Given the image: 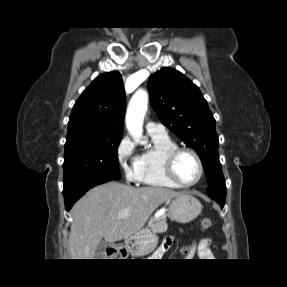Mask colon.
Here are the masks:
<instances>
[{
	"instance_id": "obj_1",
	"label": "colon",
	"mask_w": 287,
	"mask_h": 287,
	"mask_svg": "<svg viewBox=\"0 0 287 287\" xmlns=\"http://www.w3.org/2000/svg\"><path fill=\"white\" fill-rule=\"evenodd\" d=\"M212 225V221L208 217H203L200 220V228L203 231L208 230ZM186 252V250H184ZM126 255V250L123 247H117L111 250L110 256L112 257H124Z\"/></svg>"
}]
</instances>
